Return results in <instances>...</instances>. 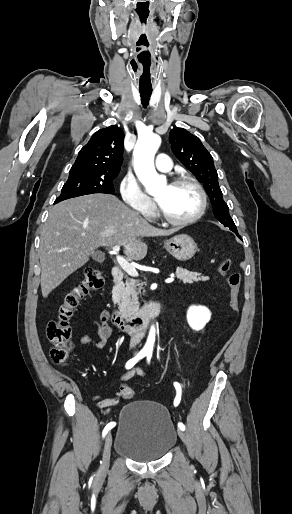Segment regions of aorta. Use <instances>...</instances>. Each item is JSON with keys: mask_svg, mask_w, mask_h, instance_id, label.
I'll return each instance as SVG.
<instances>
[{"mask_svg": "<svg viewBox=\"0 0 292 514\" xmlns=\"http://www.w3.org/2000/svg\"><path fill=\"white\" fill-rule=\"evenodd\" d=\"M161 144L159 136L146 134L139 138L134 150V170L141 184L145 186L148 194H156L160 186H166L165 176H159L154 166V156ZM155 342V328L152 326L145 348H153Z\"/></svg>", "mask_w": 292, "mask_h": 514, "instance_id": "aorta-1", "label": "aorta"}]
</instances>
